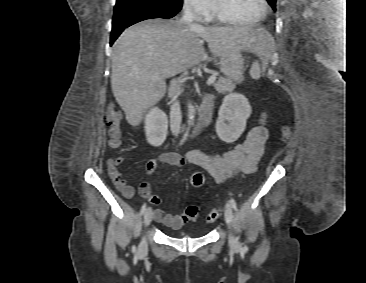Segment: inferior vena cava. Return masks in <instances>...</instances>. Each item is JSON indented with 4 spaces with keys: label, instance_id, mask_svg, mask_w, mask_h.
<instances>
[{
    "label": "inferior vena cava",
    "instance_id": "obj_1",
    "mask_svg": "<svg viewBox=\"0 0 366 283\" xmlns=\"http://www.w3.org/2000/svg\"><path fill=\"white\" fill-rule=\"evenodd\" d=\"M194 17L195 15L191 6L189 4H186L184 7L183 16L180 19L181 23L193 26ZM181 121H182L181 108L179 102L176 100L175 97L172 101V105L170 108V128L171 132L174 135L179 134L181 129Z\"/></svg>",
    "mask_w": 366,
    "mask_h": 283
}]
</instances>
